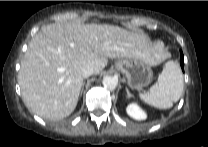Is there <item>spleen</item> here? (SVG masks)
I'll list each match as a JSON object with an SVG mask.
<instances>
[{
	"instance_id": "spleen-1",
	"label": "spleen",
	"mask_w": 208,
	"mask_h": 147,
	"mask_svg": "<svg viewBox=\"0 0 208 147\" xmlns=\"http://www.w3.org/2000/svg\"><path fill=\"white\" fill-rule=\"evenodd\" d=\"M183 89V75L179 65L174 61H168L158 76L157 83L148 93H140V98L153 107L168 109L173 106V102L180 99Z\"/></svg>"
}]
</instances>
